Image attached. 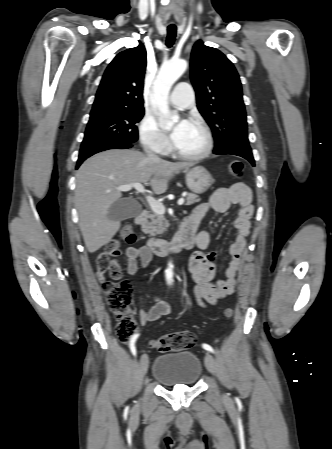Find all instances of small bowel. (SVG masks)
<instances>
[{"label": "small bowel", "mask_w": 332, "mask_h": 449, "mask_svg": "<svg viewBox=\"0 0 332 449\" xmlns=\"http://www.w3.org/2000/svg\"><path fill=\"white\" fill-rule=\"evenodd\" d=\"M251 201L252 194L248 186L244 183H236L231 187L218 189L209 201L197 205L189 216L196 229L194 245L199 249L191 256L189 267L195 282L194 296L200 306L214 304L234 291L237 282L236 275L243 262V251L250 231V219L253 214ZM232 204L238 205L240 209L234 223L236 236L230 246L231 260L226 268L225 278L214 281L217 266L213 261L214 255L207 252L210 236L206 231H197V228L201 220L210 211L224 213ZM126 255L127 273L129 275H134L139 265L144 268L148 267L152 260L151 252L144 246L128 247ZM169 312V305L160 299H156L154 306L140 312L138 322L140 325H145L167 315Z\"/></svg>", "instance_id": "c3829d8e"}]
</instances>
